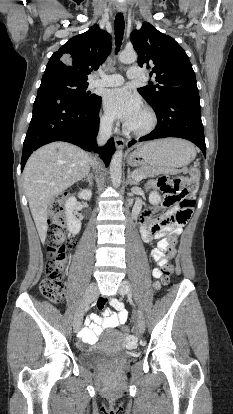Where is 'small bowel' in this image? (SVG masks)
Here are the masks:
<instances>
[{
  "label": "small bowel",
  "mask_w": 233,
  "mask_h": 414,
  "mask_svg": "<svg viewBox=\"0 0 233 414\" xmlns=\"http://www.w3.org/2000/svg\"><path fill=\"white\" fill-rule=\"evenodd\" d=\"M139 204L136 205L135 213H138ZM176 210L174 208L167 211L158 219L151 217V211H146L141 219L140 234L144 242H151L152 240H159L157 247L151 251V256L157 262V267L153 270V276L160 278L163 274V268L168 264V258L164 254L167 247L170 235H177L181 232L182 226L185 222L179 220L175 216ZM155 252L158 255L155 256ZM107 299L101 297L94 300L91 306L94 309H99L100 316H92L87 320V326L80 332V339L83 343L92 345L96 337L107 328H118L126 323L128 319V312L124 304L116 299L109 300L110 306L115 310L112 311L105 308Z\"/></svg>",
  "instance_id": "1"
}]
</instances>
